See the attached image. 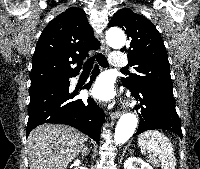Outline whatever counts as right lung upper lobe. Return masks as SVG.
I'll return each instance as SVG.
<instances>
[{"label": "right lung upper lobe", "mask_w": 200, "mask_h": 169, "mask_svg": "<svg viewBox=\"0 0 200 169\" xmlns=\"http://www.w3.org/2000/svg\"><path fill=\"white\" fill-rule=\"evenodd\" d=\"M85 12L68 8L43 30L32 57L31 85L79 73L88 51L99 48ZM77 63L75 68L71 64Z\"/></svg>", "instance_id": "cb5924a9"}]
</instances>
